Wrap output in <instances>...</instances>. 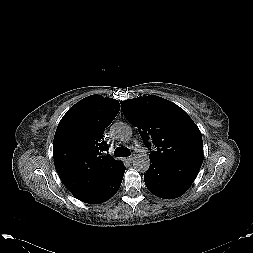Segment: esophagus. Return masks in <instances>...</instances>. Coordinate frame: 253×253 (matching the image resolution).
Listing matches in <instances>:
<instances>
[{
    "instance_id": "34e87169",
    "label": "esophagus",
    "mask_w": 253,
    "mask_h": 253,
    "mask_svg": "<svg viewBox=\"0 0 253 253\" xmlns=\"http://www.w3.org/2000/svg\"><path fill=\"white\" fill-rule=\"evenodd\" d=\"M134 158H135L134 156H130V157L127 158V160H128L129 162H132V161L134 160Z\"/></svg>"
}]
</instances>
